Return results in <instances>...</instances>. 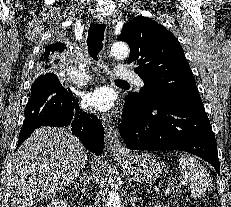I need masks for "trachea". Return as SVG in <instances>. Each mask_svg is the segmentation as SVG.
Here are the masks:
<instances>
[{"label": "trachea", "instance_id": "trachea-1", "mask_svg": "<svg viewBox=\"0 0 231 207\" xmlns=\"http://www.w3.org/2000/svg\"><path fill=\"white\" fill-rule=\"evenodd\" d=\"M105 24L93 23L90 25L87 37V48L89 55L98 61V55L103 48ZM116 83H125L126 81L115 80Z\"/></svg>", "mask_w": 231, "mask_h": 207}]
</instances>
